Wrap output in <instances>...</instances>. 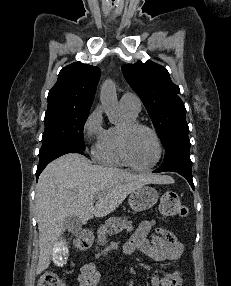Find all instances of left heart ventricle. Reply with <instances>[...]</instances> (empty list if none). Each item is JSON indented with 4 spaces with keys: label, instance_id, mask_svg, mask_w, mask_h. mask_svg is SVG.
Returning <instances> with one entry per match:
<instances>
[{
    "label": "left heart ventricle",
    "instance_id": "1",
    "mask_svg": "<svg viewBox=\"0 0 231 286\" xmlns=\"http://www.w3.org/2000/svg\"><path fill=\"white\" fill-rule=\"evenodd\" d=\"M129 149L134 162L139 166L152 164L158 154L154 137L143 129L137 130L131 135Z\"/></svg>",
    "mask_w": 231,
    "mask_h": 286
}]
</instances>
